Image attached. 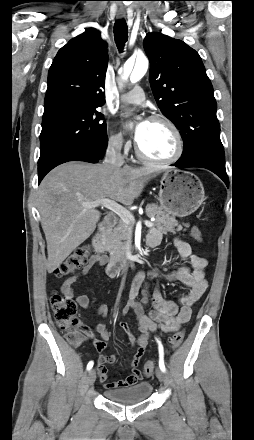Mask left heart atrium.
I'll list each match as a JSON object with an SVG mask.
<instances>
[{
  "label": "left heart atrium",
  "instance_id": "39dd6f15",
  "mask_svg": "<svg viewBox=\"0 0 254 440\" xmlns=\"http://www.w3.org/2000/svg\"><path fill=\"white\" fill-rule=\"evenodd\" d=\"M149 121H142L141 123H139L135 130H134V138L136 140V142L138 143L144 136L147 127H148Z\"/></svg>",
  "mask_w": 254,
  "mask_h": 440
}]
</instances>
